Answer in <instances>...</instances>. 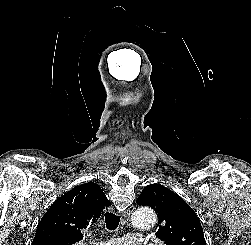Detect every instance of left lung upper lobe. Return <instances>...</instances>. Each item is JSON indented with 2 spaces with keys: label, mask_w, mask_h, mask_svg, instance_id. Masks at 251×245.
<instances>
[{
  "label": "left lung upper lobe",
  "mask_w": 251,
  "mask_h": 245,
  "mask_svg": "<svg viewBox=\"0 0 251 245\" xmlns=\"http://www.w3.org/2000/svg\"><path fill=\"white\" fill-rule=\"evenodd\" d=\"M153 208L158 216L156 236L165 245H205L204 233L194 210L161 184L147 185L136 201Z\"/></svg>",
  "instance_id": "obj_1"
}]
</instances>
